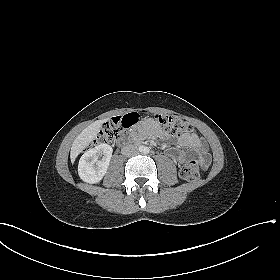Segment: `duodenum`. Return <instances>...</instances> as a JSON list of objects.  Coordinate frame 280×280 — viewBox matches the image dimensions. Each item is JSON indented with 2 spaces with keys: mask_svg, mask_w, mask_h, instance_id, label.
I'll use <instances>...</instances> for the list:
<instances>
[{
  "mask_svg": "<svg viewBox=\"0 0 280 280\" xmlns=\"http://www.w3.org/2000/svg\"><path fill=\"white\" fill-rule=\"evenodd\" d=\"M124 144L123 143H121V144H119V147H122Z\"/></svg>",
  "mask_w": 280,
  "mask_h": 280,
  "instance_id": "obj_1",
  "label": "duodenum"
}]
</instances>
